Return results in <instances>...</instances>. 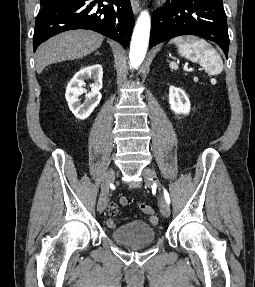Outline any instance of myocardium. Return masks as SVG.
<instances>
[{
  "mask_svg": "<svg viewBox=\"0 0 255 287\" xmlns=\"http://www.w3.org/2000/svg\"><path fill=\"white\" fill-rule=\"evenodd\" d=\"M147 39H159V38H147ZM138 48H140V47H138ZM163 48H168V47H163Z\"/></svg>",
  "mask_w": 255,
  "mask_h": 287,
  "instance_id": "1",
  "label": "myocardium"
}]
</instances>
